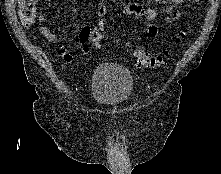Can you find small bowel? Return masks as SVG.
Wrapping results in <instances>:
<instances>
[{"label": "small bowel", "instance_id": "obj_1", "mask_svg": "<svg viewBox=\"0 0 221 174\" xmlns=\"http://www.w3.org/2000/svg\"><path fill=\"white\" fill-rule=\"evenodd\" d=\"M154 2L158 3H163L167 2L172 6H177L182 4L185 0H152ZM122 13L126 15H131V16H136L143 18L145 20V34L149 38H154L156 37L158 33V27L155 24V20L158 17V10L154 7H145L144 3L142 0H137L132 3H127L124 4L121 8ZM106 14V6L102 3L98 4L97 9H96V16L101 19L105 16ZM177 17V13L173 9H169V20L173 21ZM40 20L43 23L39 27V31L42 35H44L49 41L57 44L59 50L61 51V54L64 58V60L68 63L72 62L73 57L72 55L68 52V48L66 44L62 41V38L59 36L54 35L44 24L46 23V20L40 16ZM91 26H85L84 28H90ZM83 28V29H84ZM82 29V30H83ZM81 30V31H82ZM81 33V32H80ZM80 33L76 37V42L80 46V51L82 54H87L83 51V45L84 43L80 39Z\"/></svg>", "mask_w": 221, "mask_h": 174}]
</instances>
